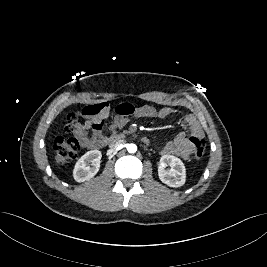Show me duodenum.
<instances>
[{
    "label": "duodenum",
    "instance_id": "duodenum-1",
    "mask_svg": "<svg viewBox=\"0 0 267 267\" xmlns=\"http://www.w3.org/2000/svg\"><path fill=\"white\" fill-rule=\"evenodd\" d=\"M122 141H123V136L121 135H114L109 139L111 148H116L119 144H121ZM142 142L147 144L149 142V139L147 137H143Z\"/></svg>",
    "mask_w": 267,
    "mask_h": 267
}]
</instances>
